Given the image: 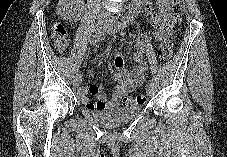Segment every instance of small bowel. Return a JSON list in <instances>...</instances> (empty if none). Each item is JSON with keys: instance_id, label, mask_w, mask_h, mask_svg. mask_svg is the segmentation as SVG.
<instances>
[{"instance_id": "c3829d8e", "label": "small bowel", "mask_w": 227, "mask_h": 157, "mask_svg": "<svg viewBox=\"0 0 227 157\" xmlns=\"http://www.w3.org/2000/svg\"><path fill=\"white\" fill-rule=\"evenodd\" d=\"M156 4L158 6V12L155 11L152 0H137L133 5H135L137 9H139L140 5L144 6L146 12L151 17V24L155 30L154 34L156 39L164 40L169 36L168 22L170 18L171 2L170 0H156ZM144 52L145 44L141 41L138 48L133 53L135 65L132 71L127 70L122 55L119 54L114 58L116 71L112 75V80L116 82L117 85L110 98L106 97L101 86L93 83L88 84L87 87L79 88L77 90V95L86 108L94 110L117 106L128 93L140 86L147 70V64L143 59ZM89 94L95 96L97 101H91L88 97Z\"/></svg>"}]
</instances>
